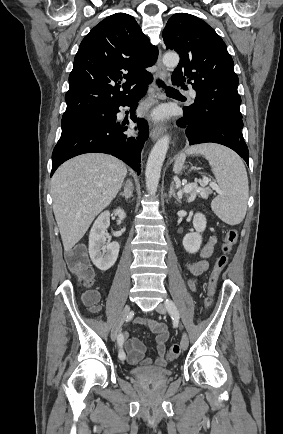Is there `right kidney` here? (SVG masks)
Segmentation results:
<instances>
[{
  "instance_id": "right-kidney-1",
  "label": "right kidney",
  "mask_w": 283,
  "mask_h": 434,
  "mask_svg": "<svg viewBox=\"0 0 283 434\" xmlns=\"http://www.w3.org/2000/svg\"><path fill=\"white\" fill-rule=\"evenodd\" d=\"M120 224L125 218L123 209L114 211ZM110 225V212H103L94 222L89 234V255L93 264L101 271L110 269L116 262L120 246L118 242H110L107 228Z\"/></svg>"
}]
</instances>
